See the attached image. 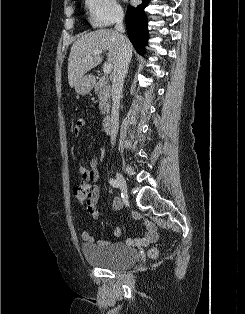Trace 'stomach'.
Returning <instances> with one entry per match:
<instances>
[{
    "instance_id": "0dacf381",
    "label": "stomach",
    "mask_w": 245,
    "mask_h": 314,
    "mask_svg": "<svg viewBox=\"0 0 245 314\" xmlns=\"http://www.w3.org/2000/svg\"><path fill=\"white\" fill-rule=\"evenodd\" d=\"M93 88V78L90 75L82 76L75 85V91L79 95L88 94Z\"/></svg>"
}]
</instances>
